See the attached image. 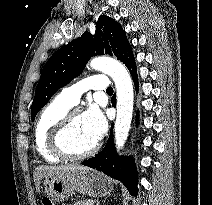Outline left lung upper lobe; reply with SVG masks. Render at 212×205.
Returning <instances> with one entry per match:
<instances>
[{
  "label": "left lung upper lobe",
  "mask_w": 212,
  "mask_h": 205,
  "mask_svg": "<svg viewBox=\"0 0 212 205\" xmlns=\"http://www.w3.org/2000/svg\"><path fill=\"white\" fill-rule=\"evenodd\" d=\"M131 53L121 25L108 16H100L94 35L84 32L80 38L62 46L46 62L31 107L32 120L59 88L82 72L92 56L114 55L124 63Z\"/></svg>",
  "instance_id": "5c2ea615"
}]
</instances>
